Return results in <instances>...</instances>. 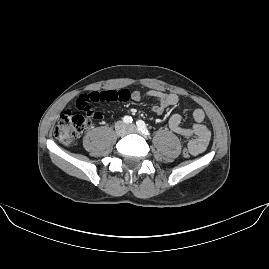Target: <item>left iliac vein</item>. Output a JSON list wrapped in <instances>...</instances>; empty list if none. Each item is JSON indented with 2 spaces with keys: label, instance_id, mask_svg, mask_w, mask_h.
Listing matches in <instances>:
<instances>
[{
  "label": "left iliac vein",
  "instance_id": "1",
  "mask_svg": "<svg viewBox=\"0 0 269 269\" xmlns=\"http://www.w3.org/2000/svg\"><path fill=\"white\" fill-rule=\"evenodd\" d=\"M128 131L129 132H136L137 131V127L135 125H129L128 126Z\"/></svg>",
  "mask_w": 269,
  "mask_h": 269
}]
</instances>
